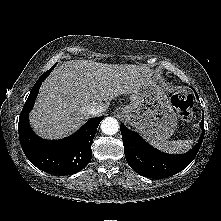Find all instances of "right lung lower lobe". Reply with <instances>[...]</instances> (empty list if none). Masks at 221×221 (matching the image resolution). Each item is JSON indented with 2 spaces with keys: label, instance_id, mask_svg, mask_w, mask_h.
I'll use <instances>...</instances> for the list:
<instances>
[{
  "label": "right lung lower lobe",
  "instance_id": "right-lung-lower-lobe-1",
  "mask_svg": "<svg viewBox=\"0 0 221 221\" xmlns=\"http://www.w3.org/2000/svg\"><path fill=\"white\" fill-rule=\"evenodd\" d=\"M50 72H45L30 91L19 117V139L24 154L36 167L59 176L69 175L84 168L91 160V144L102 117L89 120L73 135L61 140L48 141L38 137L29 126L28 115L41 83Z\"/></svg>",
  "mask_w": 221,
  "mask_h": 221
}]
</instances>
